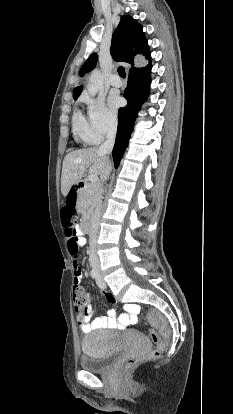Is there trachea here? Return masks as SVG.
Returning a JSON list of instances; mask_svg holds the SVG:
<instances>
[{"instance_id":"trachea-1","label":"trachea","mask_w":233,"mask_h":414,"mask_svg":"<svg viewBox=\"0 0 233 414\" xmlns=\"http://www.w3.org/2000/svg\"><path fill=\"white\" fill-rule=\"evenodd\" d=\"M118 74H119L122 78H125V77H126L125 68H124V67H119V68H118Z\"/></svg>"}]
</instances>
